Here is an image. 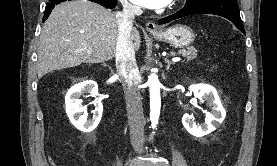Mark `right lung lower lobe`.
<instances>
[{
  "mask_svg": "<svg viewBox=\"0 0 277 166\" xmlns=\"http://www.w3.org/2000/svg\"><path fill=\"white\" fill-rule=\"evenodd\" d=\"M66 0H49L46 6V11L44 13L43 21H45L49 14L51 13V10L54 8L55 5L64 2ZM95 3H98L106 8H114L117 1L116 0H89Z\"/></svg>",
  "mask_w": 277,
  "mask_h": 166,
  "instance_id": "1",
  "label": "right lung lower lobe"
}]
</instances>
